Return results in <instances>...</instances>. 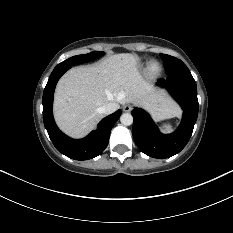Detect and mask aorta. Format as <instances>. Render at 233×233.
<instances>
[{"mask_svg":"<svg viewBox=\"0 0 233 233\" xmlns=\"http://www.w3.org/2000/svg\"><path fill=\"white\" fill-rule=\"evenodd\" d=\"M120 122L125 126H129L133 123V116L130 113H123L120 116Z\"/></svg>","mask_w":233,"mask_h":233,"instance_id":"762f6f07","label":"aorta"}]
</instances>
